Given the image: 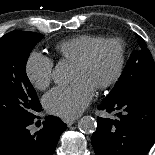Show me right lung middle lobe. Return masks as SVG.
<instances>
[{
  "label": "right lung middle lobe",
  "instance_id": "1",
  "mask_svg": "<svg viewBox=\"0 0 155 155\" xmlns=\"http://www.w3.org/2000/svg\"><path fill=\"white\" fill-rule=\"evenodd\" d=\"M42 37L39 33L12 31L0 38V125H20L41 111L26 75V62Z\"/></svg>",
  "mask_w": 155,
  "mask_h": 155
}]
</instances>
